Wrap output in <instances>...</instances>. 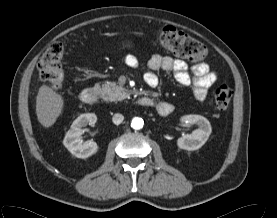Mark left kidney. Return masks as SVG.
<instances>
[{"label": "left kidney", "mask_w": 277, "mask_h": 218, "mask_svg": "<svg viewBox=\"0 0 277 218\" xmlns=\"http://www.w3.org/2000/svg\"><path fill=\"white\" fill-rule=\"evenodd\" d=\"M180 120L182 123L196 124L198 128L191 134L179 138L177 140L178 147L188 151L201 148L212 132L210 122L205 117L196 114L185 115Z\"/></svg>", "instance_id": "left-kidney-1"}]
</instances>
